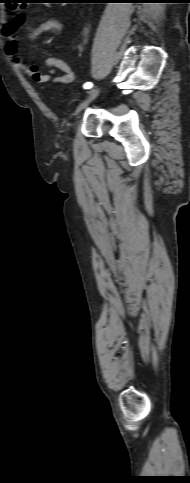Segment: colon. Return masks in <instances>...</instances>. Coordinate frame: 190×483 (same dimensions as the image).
Returning a JSON list of instances; mask_svg holds the SVG:
<instances>
[{
    "label": "colon",
    "instance_id": "1",
    "mask_svg": "<svg viewBox=\"0 0 190 483\" xmlns=\"http://www.w3.org/2000/svg\"><path fill=\"white\" fill-rule=\"evenodd\" d=\"M9 3H11V4H8L10 11L16 12L21 8L22 5H24L23 3L25 2L23 0H14V1H9Z\"/></svg>",
    "mask_w": 190,
    "mask_h": 483
}]
</instances>
